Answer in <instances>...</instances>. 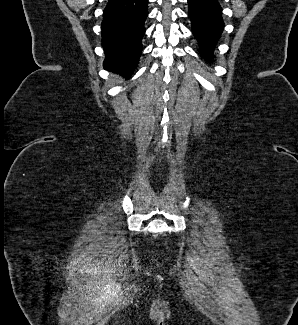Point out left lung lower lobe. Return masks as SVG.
Segmentation results:
<instances>
[{
    "instance_id": "left-lung-lower-lobe-1",
    "label": "left lung lower lobe",
    "mask_w": 298,
    "mask_h": 325,
    "mask_svg": "<svg viewBox=\"0 0 298 325\" xmlns=\"http://www.w3.org/2000/svg\"><path fill=\"white\" fill-rule=\"evenodd\" d=\"M188 5L192 32L199 43L201 55L211 61L224 27L222 8L217 0H188Z\"/></svg>"
}]
</instances>
